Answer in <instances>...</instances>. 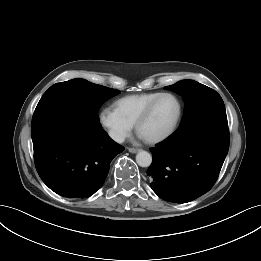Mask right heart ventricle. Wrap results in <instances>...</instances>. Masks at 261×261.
<instances>
[{
  "label": "right heart ventricle",
  "mask_w": 261,
  "mask_h": 261,
  "mask_svg": "<svg viewBox=\"0 0 261 261\" xmlns=\"http://www.w3.org/2000/svg\"><path fill=\"white\" fill-rule=\"evenodd\" d=\"M159 94L160 92H148L127 95L117 99L113 106L124 119L134 125L145 107Z\"/></svg>",
  "instance_id": "obj_1"
}]
</instances>
